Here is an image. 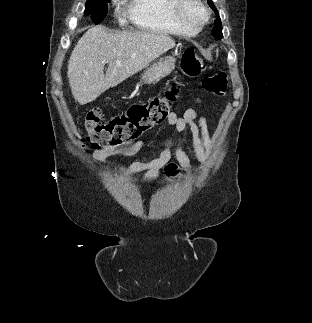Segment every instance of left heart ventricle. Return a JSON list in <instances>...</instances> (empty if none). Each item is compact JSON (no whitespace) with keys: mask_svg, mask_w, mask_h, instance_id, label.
Segmentation results:
<instances>
[{"mask_svg":"<svg viewBox=\"0 0 312 323\" xmlns=\"http://www.w3.org/2000/svg\"><path fill=\"white\" fill-rule=\"evenodd\" d=\"M184 13L187 18H203L204 7H196L195 2H188L184 8Z\"/></svg>","mask_w":312,"mask_h":323,"instance_id":"obj_1","label":"left heart ventricle"}]
</instances>
